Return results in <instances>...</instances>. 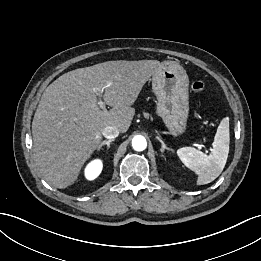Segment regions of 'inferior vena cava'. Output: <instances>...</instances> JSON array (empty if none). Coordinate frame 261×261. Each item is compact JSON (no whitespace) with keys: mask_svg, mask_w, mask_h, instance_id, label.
<instances>
[{"mask_svg":"<svg viewBox=\"0 0 261 261\" xmlns=\"http://www.w3.org/2000/svg\"><path fill=\"white\" fill-rule=\"evenodd\" d=\"M119 135V130L114 126H107L103 131V136L107 139L113 140Z\"/></svg>","mask_w":261,"mask_h":261,"instance_id":"1","label":"inferior vena cava"}]
</instances>
